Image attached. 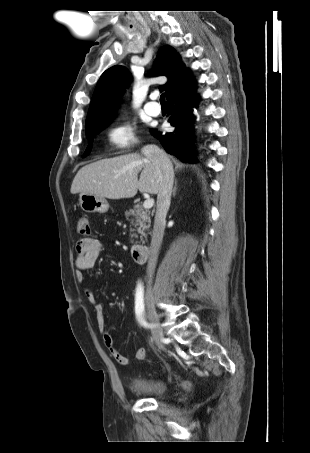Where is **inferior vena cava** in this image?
<instances>
[{
    "mask_svg": "<svg viewBox=\"0 0 310 453\" xmlns=\"http://www.w3.org/2000/svg\"><path fill=\"white\" fill-rule=\"evenodd\" d=\"M142 153L159 171L160 178V187L157 194V208L150 247V257L147 265V274L151 276L154 274L159 249L164 235L166 215L171 201L174 171L173 165L167 154L156 145L144 146L142 148Z\"/></svg>",
    "mask_w": 310,
    "mask_h": 453,
    "instance_id": "inferior-vena-cava-1",
    "label": "inferior vena cava"
}]
</instances>
